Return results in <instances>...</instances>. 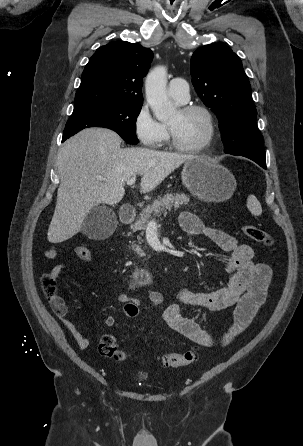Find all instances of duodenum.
<instances>
[{
  "label": "duodenum",
  "instance_id": "obj_1",
  "mask_svg": "<svg viewBox=\"0 0 303 446\" xmlns=\"http://www.w3.org/2000/svg\"><path fill=\"white\" fill-rule=\"evenodd\" d=\"M135 218V210L132 207H124L121 209L120 212V219L124 224L131 223ZM148 277V274L146 272H141L139 274V278L141 280H146Z\"/></svg>",
  "mask_w": 303,
  "mask_h": 446
}]
</instances>
